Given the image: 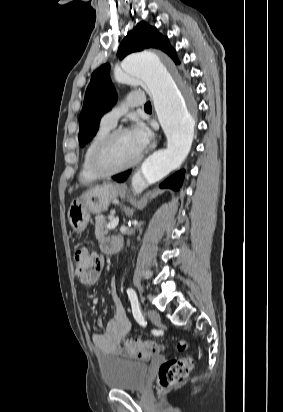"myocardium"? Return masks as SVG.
<instances>
[{"label": "myocardium", "instance_id": "1", "mask_svg": "<svg viewBox=\"0 0 283 412\" xmlns=\"http://www.w3.org/2000/svg\"><path fill=\"white\" fill-rule=\"evenodd\" d=\"M125 132H129V129L125 127L112 129L95 146L91 156V166L97 174V176L109 177L122 171L128 170L131 167L138 164L142 159L143 153L140 152L134 160L123 166L110 168L104 164L105 154L110 148L112 142L115 140L117 136Z\"/></svg>", "mask_w": 283, "mask_h": 412}]
</instances>
